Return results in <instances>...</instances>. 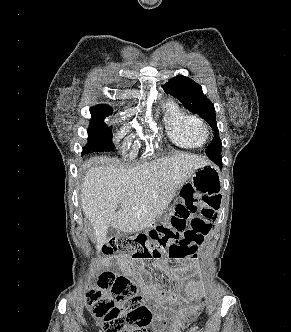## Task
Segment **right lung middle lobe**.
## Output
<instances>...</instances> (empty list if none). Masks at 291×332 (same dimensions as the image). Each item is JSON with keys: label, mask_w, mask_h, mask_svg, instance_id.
I'll use <instances>...</instances> for the list:
<instances>
[{"label": "right lung middle lobe", "mask_w": 291, "mask_h": 332, "mask_svg": "<svg viewBox=\"0 0 291 332\" xmlns=\"http://www.w3.org/2000/svg\"><path fill=\"white\" fill-rule=\"evenodd\" d=\"M90 112L92 120L87 130L88 144L84 147L82 153L113 150L111 129L103 123V120L111 114L112 109L108 105L102 104L91 107Z\"/></svg>", "instance_id": "dd1d6c3e"}]
</instances>
